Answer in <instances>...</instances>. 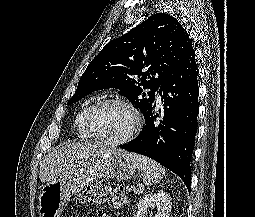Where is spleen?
<instances>
[{
    "mask_svg": "<svg viewBox=\"0 0 255 217\" xmlns=\"http://www.w3.org/2000/svg\"><path fill=\"white\" fill-rule=\"evenodd\" d=\"M129 156L135 167L143 173L144 184L152 185L165 176V168L154 160L134 153H129Z\"/></svg>",
    "mask_w": 255,
    "mask_h": 217,
    "instance_id": "3e777b00",
    "label": "spleen"
}]
</instances>
